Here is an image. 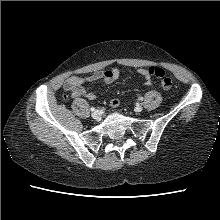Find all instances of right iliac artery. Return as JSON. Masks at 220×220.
I'll use <instances>...</instances> for the list:
<instances>
[{"label":"right iliac artery","mask_w":220,"mask_h":220,"mask_svg":"<svg viewBox=\"0 0 220 220\" xmlns=\"http://www.w3.org/2000/svg\"><path fill=\"white\" fill-rule=\"evenodd\" d=\"M91 111H92V112H93V111H95V108H94V107H92V108H91Z\"/></svg>","instance_id":"82829eb1"}]
</instances>
